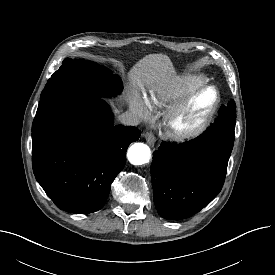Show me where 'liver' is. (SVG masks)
I'll list each match as a JSON object with an SVG mask.
<instances>
[{"label":"liver","mask_w":275,"mask_h":275,"mask_svg":"<svg viewBox=\"0 0 275 275\" xmlns=\"http://www.w3.org/2000/svg\"><path fill=\"white\" fill-rule=\"evenodd\" d=\"M175 69L167 55L149 54L138 61L129 72L132 84L153 83L174 75ZM114 106V104H112Z\"/></svg>","instance_id":"1"}]
</instances>
